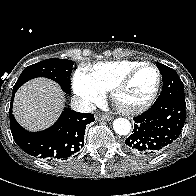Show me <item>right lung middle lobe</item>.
<instances>
[{
	"instance_id": "dd1d6c3e",
	"label": "right lung middle lobe",
	"mask_w": 196,
	"mask_h": 196,
	"mask_svg": "<svg viewBox=\"0 0 196 196\" xmlns=\"http://www.w3.org/2000/svg\"><path fill=\"white\" fill-rule=\"evenodd\" d=\"M73 64L71 60L51 58L30 65L21 73L13 90L33 78L47 77L57 82L65 93L70 94V75Z\"/></svg>"
}]
</instances>
